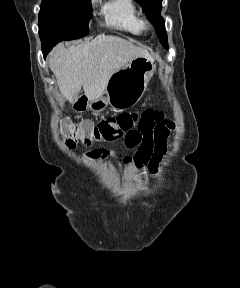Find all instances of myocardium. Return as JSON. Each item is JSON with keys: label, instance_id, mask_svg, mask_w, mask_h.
Returning a JSON list of instances; mask_svg holds the SVG:
<instances>
[{"label": "myocardium", "instance_id": "myocardium-1", "mask_svg": "<svg viewBox=\"0 0 240 288\" xmlns=\"http://www.w3.org/2000/svg\"><path fill=\"white\" fill-rule=\"evenodd\" d=\"M144 28L149 29L151 27L150 23L148 22H143Z\"/></svg>", "mask_w": 240, "mask_h": 288}]
</instances>
